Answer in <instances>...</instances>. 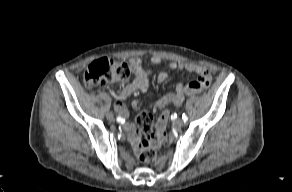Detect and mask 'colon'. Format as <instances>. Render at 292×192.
Segmentation results:
<instances>
[{
  "mask_svg": "<svg viewBox=\"0 0 292 192\" xmlns=\"http://www.w3.org/2000/svg\"><path fill=\"white\" fill-rule=\"evenodd\" d=\"M129 75L130 69L127 64L109 58H101L93 61L86 68L84 72V81L87 86L118 85L124 82ZM137 124L144 132L143 147L139 151V160L143 164H149L153 162L157 156L156 142L153 141V134L150 133V128L153 124L152 111L146 108L142 109L137 116Z\"/></svg>",
  "mask_w": 292,
  "mask_h": 192,
  "instance_id": "1",
  "label": "colon"
}]
</instances>
